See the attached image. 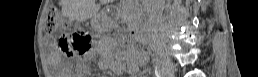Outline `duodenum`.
<instances>
[{"mask_svg": "<svg viewBox=\"0 0 258 77\" xmlns=\"http://www.w3.org/2000/svg\"><path fill=\"white\" fill-rule=\"evenodd\" d=\"M144 42V44L147 46V45H149L150 46V49H153V45H152V41L151 40H149V41H147V40H145V41H143Z\"/></svg>", "mask_w": 258, "mask_h": 77, "instance_id": "duodenum-1", "label": "duodenum"}]
</instances>
